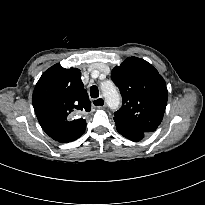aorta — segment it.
<instances>
[{"instance_id": "762f6f07", "label": "aorta", "mask_w": 205, "mask_h": 205, "mask_svg": "<svg viewBox=\"0 0 205 205\" xmlns=\"http://www.w3.org/2000/svg\"><path fill=\"white\" fill-rule=\"evenodd\" d=\"M101 89L108 107L112 110L118 109L121 103V97L112 82L102 84Z\"/></svg>"}]
</instances>
